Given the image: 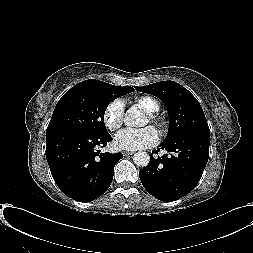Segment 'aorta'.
Here are the masks:
<instances>
[{
	"label": "aorta",
	"mask_w": 253,
	"mask_h": 253,
	"mask_svg": "<svg viewBox=\"0 0 253 253\" xmlns=\"http://www.w3.org/2000/svg\"><path fill=\"white\" fill-rule=\"evenodd\" d=\"M124 123L131 127H140L143 125L142 117L136 112L129 111L125 118ZM133 161L137 166L146 167L149 164L150 156L147 152H137L133 156Z\"/></svg>",
	"instance_id": "1"
}]
</instances>
